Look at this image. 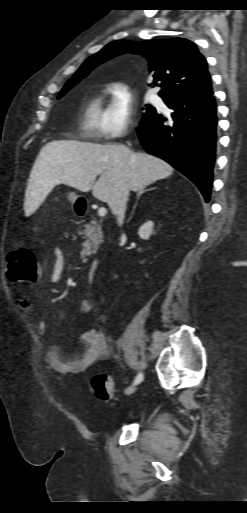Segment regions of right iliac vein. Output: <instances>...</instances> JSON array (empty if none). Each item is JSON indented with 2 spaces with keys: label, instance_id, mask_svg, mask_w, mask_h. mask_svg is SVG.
Returning <instances> with one entry per match:
<instances>
[{
  "label": "right iliac vein",
  "instance_id": "1",
  "mask_svg": "<svg viewBox=\"0 0 247 513\" xmlns=\"http://www.w3.org/2000/svg\"><path fill=\"white\" fill-rule=\"evenodd\" d=\"M135 389L136 388L134 386L127 388L126 391H125V395L126 396H130L131 394L134 393Z\"/></svg>",
  "mask_w": 247,
  "mask_h": 513
}]
</instances>
